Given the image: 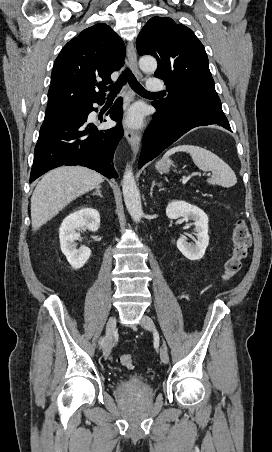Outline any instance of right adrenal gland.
<instances>
[{
  "label": "right adrenal gland",
  "instance_id": "2a0ac1e0",
  "mask_svg": "<svg viewBox=\"0 0 272 452\" xmlns=\"http://www.w3.org/2000/svg\"><path fill=\"white\" fill-rule=\"evenodd\" d=\"M101 186H97L95 192L93 193V195H98L99 197H103L101 191H100Z\"/></svg>",
  "mask_w": 272,
  "mask_h": 452
}]
</instances>
